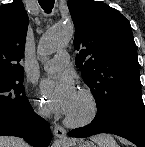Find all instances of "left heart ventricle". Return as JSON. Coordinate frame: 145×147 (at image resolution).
Returning <instances> with one entry per match:
<instances>
[{"mask_svg": "<svg viewBox=\"0 0 145 147\" xmlns=\"http://www.w3.org/2000/svg\"><path fill=\"white\" fill-rule=\"evenodd\" d=\"M87 107L86 101L78 94L75 104L68 115L71 117H80L86 113Z\"/></svg>", "mask_w": 145, "mask_h": 147, "instance_id": "1", "label": "left heart ventricle"}]
</instances>
